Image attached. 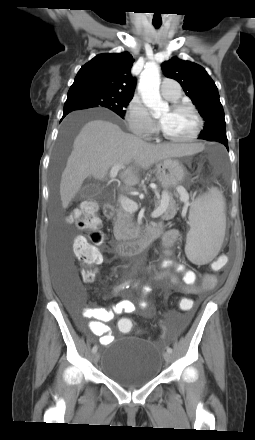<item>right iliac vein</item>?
Here are the masks:
<instances>
[{
  "instance_id": "right-iliac-vein-1",
  "label": "right iliac vein",
  "mask_w": 255,
  "mask_h": 440,
  "mask_svg": "<svg viewBox=\"0 0 255 440\" xmlns=\"http://www.w3.org/2000/svg\"><path fill=\"white\" fill-rule=\"evenodd\" d=\"M92 360L96 364L99 361V354L98 353H94L93 356H92Z\"/></svg>"
}]
</instances>
